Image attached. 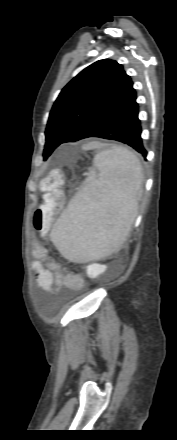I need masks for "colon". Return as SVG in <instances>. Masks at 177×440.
Instances as JSON below:
<instances>
[{
	"instance_id": "1",
	"label": "colon",
	"mask_w": 177,
	"mask_h": 440,
	"mask_svg": "<svg viewBox=\"0 0 177 440\" xmlns=\"http://www.w3.org/2000/svg\"><path fill=\"white\" fill-rule=\"evenodd\" d=\"M64 183L63 171L59 168L52 169L48 176L41 183V190L43 191V204L39 207L34 215V227L38 231L47 230L53 217L57 214L63 206L64 195L62 193V186ZM78 275H71L69 281H74Z\"/></svg>"
}]
</instances>
